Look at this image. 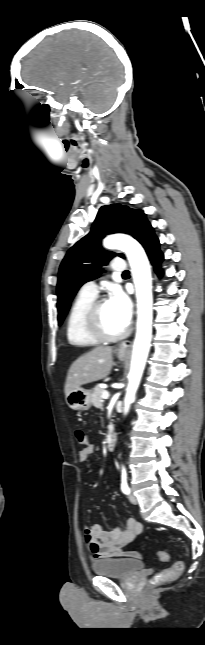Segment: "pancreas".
Here are the masks:
<instances>
[{
  "instance_id": "obj_1",
  "label": "pancreas",
  "mask_w": 205,
  "mask_h": 645,
  "mask_svg": "<svg viewBox=\"0 0 205 645\" xmlns=\"http://www.w3.org/2000/svg\"><path fill=\"white\" fill-rule=\"evenodd\" d=\"M105 391L101 386L94 387L92 392V403L96 408H101L103 405L102 393Z\"/></svg>"
}]
</instances>
